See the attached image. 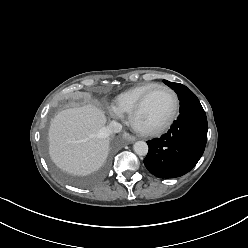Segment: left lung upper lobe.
<instances>
[{"label":"left lung upper lobe","mask_w":248,"mask_h":248,"mask_svg":"<svg viewBox=\"0 0 248 248\" xmlns=\"http://www.w3.org/2000/svg\"><path fill=\"white\" fill-rule=\"evenodd\" d=\"M163 82L177 93L178 98L180 100L179 111L184 110V107H181V104L183 105L187 103L191 98L198 99L192 91H190L186 86L182 84L169 82L167 80H163Z\"/></svg>","instance_id":"obj_1"}]
</instances>
